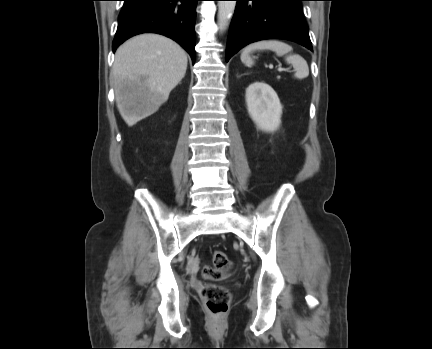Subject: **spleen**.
Segmentation results:
<instances>
[{
	"mask_svg": "<svg viewBox=\"0 0 432 349\" xmlns=\"http://www.w3.org/2000/svg\"><path fill=\"white\" fill-rule=\"evenodd\" d=\"M272 50L277 56L286 55L285 60L288 64H291L295 69L294 77L297 79H304L309 75V68L306 60L298 54H290L292 47L282 41L278 40H262L252 43L244 48L241 54V61L247 67H251L254 64V60L251 57V53L256 50Z\"/></svg>",
	"mask_w": 432,
	"mask_h": 349,
	"instance_id": "obj_1",
	"label": "spleen"
}]
</instances>
